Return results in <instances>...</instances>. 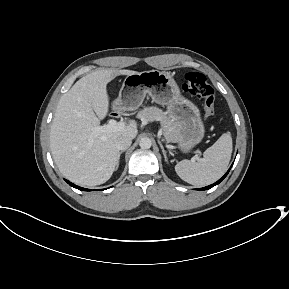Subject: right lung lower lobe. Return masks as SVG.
<instances>
[{
	"instance_id": "98d812e1",
	"label": "right lung lower lobe",
	"mask_w": 289,
	"mask_h": 289,
	"mask_svg": "<svg viewBox=\"0 0 289 289\" xmlns=\"http://www.w3.org/2000/svg\"><path fill=\"white\" fill-rule=\"evenodd\" d=\"M67 183H69V185L70 186H72V187H74V188H76V189H79V190H81V191H91L90 189H85V188H82V187H79V186H77V185H75V184H73V183H71V182H68L67 180H65Z\"/></svg>"
}]
</instances>
